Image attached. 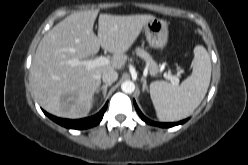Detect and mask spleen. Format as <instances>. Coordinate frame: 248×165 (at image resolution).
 Listing matches in <instances>:
<instances>
[{
	"label": "spleen",
	"mask_w": 248,
	"mask_h": 165,
	"mask_svg": "<svg viewBox=\"0 0 248 165\" xmlns=\"http://www.w3.org/2000/svg\"><path fill=\"white\" fill-rule=\"evenodd\" d=\"M211 60L202 45L194 48L193 71L180 86L165 81L150 84V96L157 118L163 122L190 116L200 105L211 79Z\"/></svg>",
	"instance_id": "1"
}]
</instances>
